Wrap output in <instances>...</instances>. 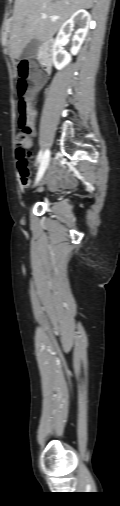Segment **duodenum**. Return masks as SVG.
I'll list each match as a JSON object with an SVG mask.
<instances>
[{
	"label": "duodenum",
	"mask_w": 120,
	"mask_h": 506,
	"mask_svg": "<svg viewBox=\"0 0 120 506\" xmlns=\"http://www.w3.org/2000/svg\"><path fill=\"white\" fill-rule=\"evenodd\" d=\"M53 51H54L53 42L51 40H49L44 44V47H43L42 66L46 72H48L50 70Z\"/></svg>",
	"instance_id": "obj_1"
}]
</instances>
